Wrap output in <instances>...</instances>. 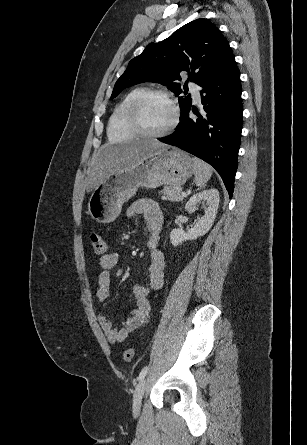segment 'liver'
<instances>
[{"label": "liver", "instance_id": "1", "mask_svg": "<svg viewBox=\"0 0 307 445\" xmlns=\"http://www.w3.org/2000/svg\"><path fill=\"white\" fill-rule=\"evenodd\" d=\"M168 146L169 144H163L158 140H135V142L117 144V146H111V144L101 146L96 158L87 168L86 192H91L109 174H115L117 170L133 168L136 162H141L145 156Z\"/></svg>", "mask_w": 307, "mask_h": 445}]
</instances>
